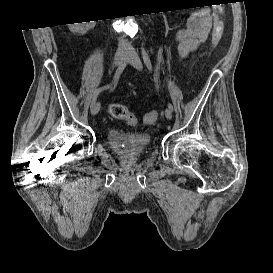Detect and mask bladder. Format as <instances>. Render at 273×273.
Here are the masks:
<instances>
[{"label":"bladder","mask_w":273,"mask_h":273,"mask_svg":"<svg viewBox=\"0 0 273 273\" xmlns=\"http://www.w3.org/2000/svg\"><path fill=\"white\" fill-rule=\"evenodd\" d=\"M106 139L111 152L124 161L139 158L151 145V138L148 134L116 128L108 129Z\"/></svg>","instance_id":"obj_1"}]
</instances>
